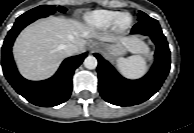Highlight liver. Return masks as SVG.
Listing matches in <instances>:
<instances>
[{"mask_svg":"<svg viewBox=\"0 0 194 133\" xmlns=\"http://www.w3.org/2000/svg\"><path fill=\"white\" fill-rule=\"evenodd\" d=\"M98 38L120 42L131 53H147V45L137 37L101 36L94 30L72 19L49 17L27 26L17 37L13 55L20 73L30 80L51 77L65 57L64 46L72 43L82 52L87 39Z\"/></svg>","mask_w":194,"mask_h":133,"instance_id":"6515ba94","label":"liver"}]
</instances>
